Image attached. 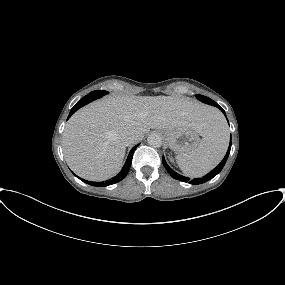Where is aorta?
Here are the masks:
<instances>
[{
    "label": "aorta",
    "instance_id": "762f6f07",
    "mask_svg": "<svg viewBox=\"0 0 285 285\" xmlns=\"http://www.w3.org/2000/svg\"><path fill=\"white\" fill-rule=\"evenodd\" d=\"M147 142L152 147H161V145H162V138L157 133H151L148 136V138H147Z\"/></svg>",
    "mask_w": 285,
    "mask_h": 285
}]
</instances>
